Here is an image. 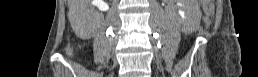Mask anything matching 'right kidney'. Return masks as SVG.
<instances>
[{"instance_id": "obj_1", "label": "right kidney", "mask_w": 258, "mask_h": 77, "mask_svg": "<svg viewBox=\"0 0 258 77\" xmlns=\"http://www.w3.org/2000/svg\"><path fill=\"white\" fill-rule=\"evenodd\" d=\"M90 2V0H89ZM92 3L97 2L99 4L101 0H91ZM107 8V5L102 3ZM97 24L87 23L84 17L77 16L75 22L72 24L73 29L77 33V35L82 39H89L95 32Z\"/></svg>"}]
</instances>
